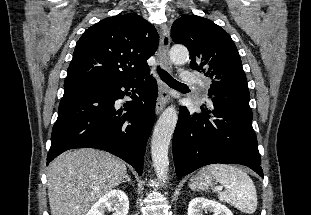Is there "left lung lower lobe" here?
I'll use <instances>...</instances> for the list:
<instances>
[{
    "label": "left lung lower lobe",
    "instance_id": "1",
    "mask_svg": "<svg viewBox=\"0 0 311 215\" xmlns=\"http://www.w3.org/2000/svg\"><path fill=\"white\" fill-rule=\"evenodd\" d=\"M201 113L181 107L173 135L178 177L213 163L241 164L263 177L249 101L210 96Z\"/></svg>",
    "mask_w": 311,
    "mask_h": 215
}]
</instances>
